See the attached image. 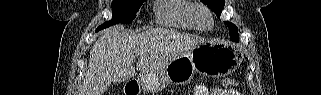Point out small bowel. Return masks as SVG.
Returning <instances> with one entry per match:
<instances>
[{"label":"small bowel","mask_w":321,"mask_h":95,"mask_svg":"<svg viewBox=\"0 0 321 95\" xmlns=\"http://www.w3.org/2000/svg\"><path fill=\"white\" fill-rule=\"evenodd\" d=\"M198 95H238V93H234L231 91L221 90V89H215L212 91L205 90L202 87H199L197 90Z\"/></svg>","instance_id":"c3829d8e"}]
</instances>
